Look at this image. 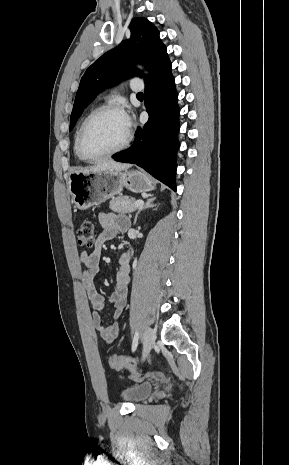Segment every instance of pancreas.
<instances>
[{
    "label": "pancreas",
    "instance_id": "cf45deb5",
    "mask_svg": "<svg viewBox=\"0 0 289 465\" xmlns=\"http://www.w3.org/2000/svg\"><path fill=\"white\" fill-rule=\"evenodd\" d=\"M136 200L128 196H118L110 201V209L117 213H129L137 209Z\"/></svg>",
    "mask_w": 289,
    "mask_h": 465
}]
</instances>
